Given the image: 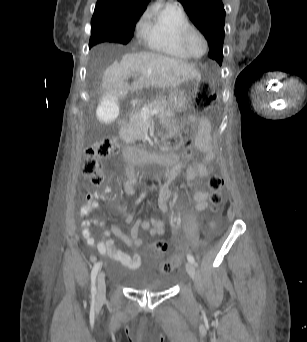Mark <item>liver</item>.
I'll return each instance as SVG.
<instances>
[{
  "label": "liver",
  "mask_w": 307,
  "mask_h": 342,
  "mask_svg": "<svg viewBox=\"0 0 307 342\" xmlns=\"http://www.w3.org/2000/svg\"><path fill=\"white\" fill-rule=\"evenodd\" d=\"M137 74L140 78L128 84L127 80ZM191 78H198L192 64L162 54L139 52L116 56L112 66L105 70L102 82L106 95H121L124 100L128 92L145 88H176Z\"/></svg>",
  "instance_id": "1"
}]
</instances>
